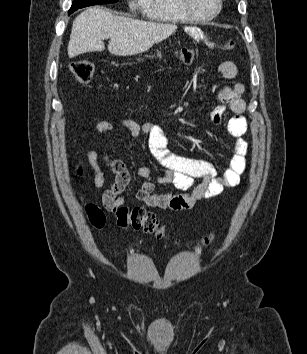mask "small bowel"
<instances>
[{"mask_svg": "<svg viewBox=\"0 0 307 354\" xmlns=\"http://www.w3.org/2000/svg\"><path fill=\"white\" fill-rule=\"evenodd\" d=\"M186 33L194 40H206L199 28H188ZM219 71L229 80L237 75V68L231 62H223L219 66ZM243 92L244 85L239 82L222 89L217 95L221 104L215 106L210 113L212 121L217 125L223 122L226 113L225 105H228L234 113L226 125L229 135L235 139L232 157L221 177H217V170L211 162L180 156L172 152L168 146L167 133L163 126L151 123L140 124L131 119L121 120L120 124L129 132L130 139H135L142 134L148 138L150 153L165 169L161 175H154L145 166L137 169L138 176L145 179L136 193L139 201L153 208L174 211L189 210L195 207L197 202L211 200L224 189L233 188L239 184L246 167L247 154V142L243 138L247 131V123L242 116L245 110V102L241 98ZM112 128V124L108 121H100L95 125L98 133L111 131ZM85 156L93 174L94 185L100 189L105 184V176L99 165L98 154L93 150H87ZM106 161L115 178L112 186L103 194L102 200L105 207L111 210L112 206L123 204L124 200L119 196L130 181V173L121 161L112 158H106ZM196 179L201 180L197 185ZM155 183L172 184L182 191L190 189L192 191L183 194L157 193L154 191Z\"/></svg>", "mask_w": 307, "mask_h": 354, "instance_id": "small-bowel-1", "label": "small bowel"}]
</instances>
